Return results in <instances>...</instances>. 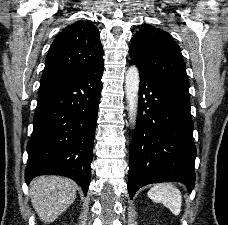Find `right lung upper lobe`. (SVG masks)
<instances>
[{"mask_svg":"<svg viewBox=\"0 0 228 225\" xmlns=\"http://www.w3.org/2000/svg\"><path fill=\"white\" fill-rule=\"evenodd\" d=\"M97 27L88 21L65 27L52 43L45 60L41 83L83 72L103 61Z\"/></svg>","mask_w":228,"mask_h":225,"instance_id":"obj_1","label":"right lung upper lobe"}]
</instances>
